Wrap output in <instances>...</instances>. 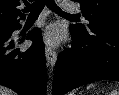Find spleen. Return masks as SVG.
<instances>
[{"label":"spleen","mask_w":119,"mask_h":95,"mask_svg":"<svg viewBox=\"0 0 119 95\" xmlns=\"http://www.w3.org/2000/svg\"><path fill=\"white\" fill-rule=\"evenodd\" d=\"M91 87H94V85L91 84V85L88 86V88H91ZM111 95H119V91L117 92L116 90H113V91L111 92Z\"/></svg>","instance_id":"obj_1"}]
</instances>
